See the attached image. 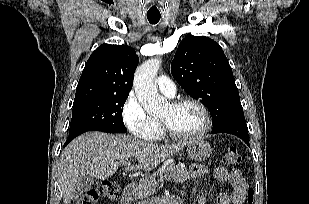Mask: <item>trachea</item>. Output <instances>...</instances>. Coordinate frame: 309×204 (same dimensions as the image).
Wrapping results in <instances>:
<instances>
[{
    "label": "trachea",
    "instance_id": "3493384b",
    "mask_svg": "<svg viewBox=\"0 0 309 204\" xmlns=\"http://www.w3.org/2000/svg\"><path fill=\"white\" fill-rule=\"evenodd\" d=\"M147 18H148V21L151 24H157L160 20V16H150V15H148Z\"/></svg>",
    "mask_w": 309,
    "mask_h": 204
}]
</instances>
